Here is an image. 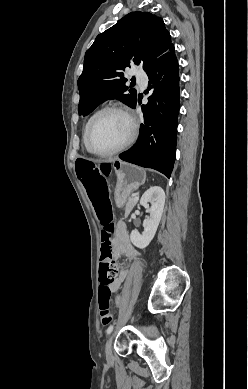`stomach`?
<instances>
[{"label": "stomach", "mask_w": 248, "mask_h": 389, "mask_svg": "<svg viewBox=\"0 0 248 389\" xmlns=\"http://www.w3.org/2000/svg\"><path fill=\"white\" fill-rule=\"evenodd\" d=\"M113 168L117 176L115 201L118 207H122L130 194L145 182L146 172L141 167L122 161H114Z\"/></svg>", "instance_id": "obj_1"}]
</instances>
